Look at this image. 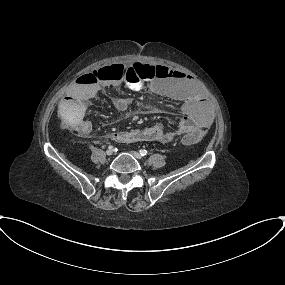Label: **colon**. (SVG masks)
Instances as JSON below:
<instances>
[{
	"label": "colon",
	"mask_w": 285,
	"mask_h": 285,
	"mask_svg": "<svg viewBox=\"0 0 285 285\" xmlns=\"http://www.w3.org/2000/svg\"><path fill=\"white\" fill-rule=\"evenodd\" d=\"M120 66L117 64L106 68L95 70L93 72H84L78 75L77 81L81 83L91 84L98 80H103L108 77H114L118 73ZM130 72L135 74L140 81H152L157 78H166L169 76V70L160 65H150L143 63H136L130 68ZM80 123V118L74 121L67 122V126L71 129L77 130ZM203 135L200 130H193L182 138L184 144H195L201 141Z\"/></svg>",
	"instance_id": "obj_1"
}]
</instances>
